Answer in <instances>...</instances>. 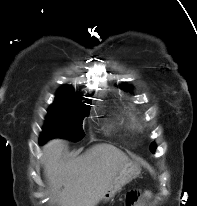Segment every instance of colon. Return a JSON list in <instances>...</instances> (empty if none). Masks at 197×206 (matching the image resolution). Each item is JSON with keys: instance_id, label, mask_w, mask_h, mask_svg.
Instances as JSON below:
<instances>
[{"instance_id": "1", "label": "colon", "mask_w": 197, "mask_h": 206, "mask_svg": "<svg viewBox=\"0 0 197 206\" xmlns=\"http://www.w3.org/2000/svg\"><path fill=\"white\" fill-rule=\"evenodd\" d=\"M137 196H138L137 191H131V192L127 195V197H126V200H125L126 205L129 206L131 203H133L134 201H136Z\"/></svg>"}]
</instances>
